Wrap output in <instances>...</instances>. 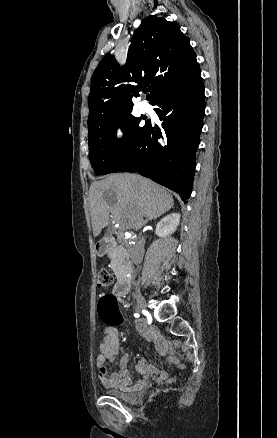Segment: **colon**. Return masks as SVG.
<instances>
[{"mask_svg": "<svg viewBox=\"0 0 277 438\" xmlns=\"http://www.w3.org/2000/svg\"><path fill=\"white\" fill-rule=\"evenodd\" d=\"M96 284L98 288H106L112 285L114 278L112 274L105 268L101 267L96 272ZM114 300H116L114 298Z\"/></svg>", "mask_w": 277, "mask_h": 438, "instance_id": "colon-1", "label": "colon"}]
</instances>
